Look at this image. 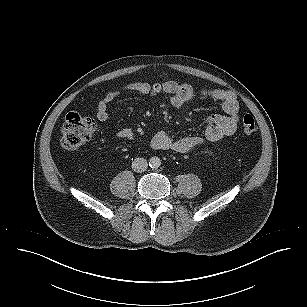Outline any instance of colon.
<instances>
[{
  "label": "colon",
  "instance_id": "1",
  "mask_svg": "<svg viewBox=\"0 0 307 307\" xmlns=\"http://www.w3.org/2000/svg\"><path fill=\"white\" fill-rule=\"evenodd\" d=\"M96 129V121L90 116L69 113L61 130V144L66 150H74L90 140ZM245 134L255 133L257 126L252 115L246 114L242 120Z\"/></svg>",
  "mask_w": 307,
  "mask_h": 307
}]
</instances>
